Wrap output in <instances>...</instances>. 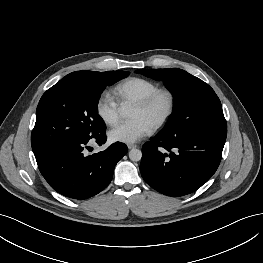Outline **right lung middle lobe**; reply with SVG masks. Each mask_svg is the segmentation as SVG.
Masks as SVG:
<instances>
[{"mask_svg":"<svg viewBox=\"0 0 263 263\" xmlns=\"http://www.w3.org/2000/svg\"><path fill=\"white\" fill-rule=\"evenodd\" d=\"M126 71H89L79 78H63L39 101L31 135L33 152L55 143L95 137L106 130L98 115V101L106 86L127 77Z\"/></svg>","mask_w":263,"mask_h":263,"instance_id":"right-lung-middle-lobe-1","label":"right lung middle lobe"}]
</instances>
